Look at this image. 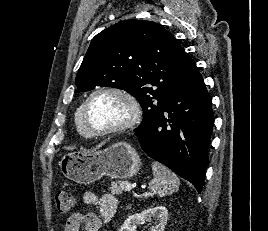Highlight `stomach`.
<instances>
[{
    "instance_id": "obj_1",
    "label": "stomach",
    "mask_w": 268,
    "mask_h": 231,
    "mask_svg": "<svg viewBox=\"0 0 268 231\" xmlns=\"http://www.w3.org/2000/svg\"><path fill=\"white\" fill-rule=\"evenodd\" d=\"M140 164L136 150L125 142H118L103 150L67 153L59 161L61 173L81 184L95 182L103 176L131 178L138 173Z\"/></svg>"
}]
</instances>
